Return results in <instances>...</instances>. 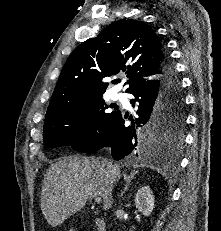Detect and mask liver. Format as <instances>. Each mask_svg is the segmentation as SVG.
<instances>
[{
  "instance_id": "1",
  "label": "liver",
  "mask_w": 221,
  "mask_h": 231,
  "mask_svg": "<svg viewBox=\"0 0 221 231\" xmlns=\"http://www.w3.org/2000/svg\"><path fill=\"white\" fill-rule=\"evenodd\" d=\"M121 178L120 166L84 156H65L52 163L44 176L41 210L48 224L56 227L81 210L88 198L100 197L103 209L113 203V184Z\"/></svg>"
}]
</instances>
